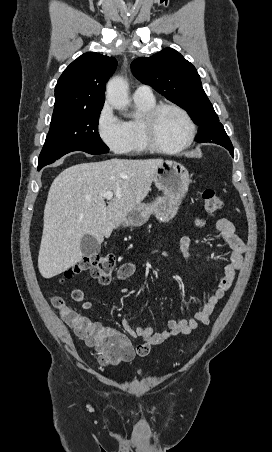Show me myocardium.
<instances>
[{
	"label": "myocardium",
	"instance_id": "myocardium-1",
	"mask_svg": "<svg viewBox=\"0 0 272 452\" xmlns=\"http://www.w3.org/2000/svg\"><path fill=\"white\" fill-rule=\"evenodd\" d=\"M165 109H172L180 113L183 118L186 121L187 124V135L185 140L180 143L177 146L174 147H166L161 145L156 137H155V122L158 117V115ZM196 133L195 123L189 113L181 106L174 104V103H161L155 105L153 108H151L149 111L146 112L142 119V134L144 137V140L148 147L151 150L161 152V153H167V154H174L178 153L184 149H186L194 140Z\"/></svg>",
	"mask_w": 272,
	"mask_h": 452
}]
</instances>
